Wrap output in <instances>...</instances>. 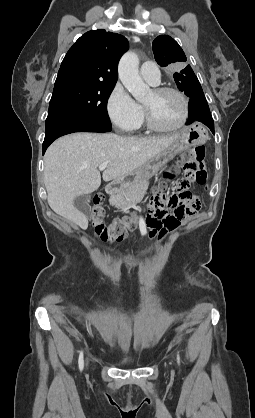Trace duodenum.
Returning a JSON list of instances; mask_svg holds the SVG:
<instances>
[{
    "instance_id": "duodenum-1",
    "label": "duodenum",
    "mask_w": 255,
    "mask_h": 418,
    "mask_svg": "<svg viewBox=\"0 0 255 418\" xmlns=\"http://www.w3.org/2000/svg\"><path fill=\"white\" fill-rule=\"evenodd\" d=\"M123 185L124 183L121 180L114 181L107 186L106 191L108 194H115L123 187Z\"/></svg>"
}]
</instances>
